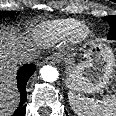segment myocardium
Here are the masks:
<instances>
[{"label":"myocardium","mask_w":116,"mask_h":116,"mask_svg":"<svg viewBox=\"0 0 116 116\" xmlns=\"http://www.w3.org/2000/svg\"><path fill=\"white\" fill-rule=\"evenodd\" d=\"M89 36V27L80 23L70 34L69 43L73 46H80L89 38Z\"/></svg>","instance_id":"obj_1"}]
</instances>
